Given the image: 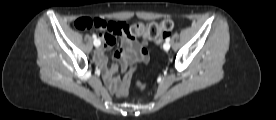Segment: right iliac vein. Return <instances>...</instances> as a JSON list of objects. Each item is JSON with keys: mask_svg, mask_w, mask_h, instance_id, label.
<instances>
[{"mask_svg": "<svg viewBox=\"0 0 276 120\" xmlns=\"http://www.w3.org/2000/svg\"><path fill=\"white\" fill-rule=\"evenodd\" d=\"M97 42H99V40L97 39V40H95V43H97ZM100 46V45H99ZM99 46H96V47H99Z\"/></svg>", "mask_w": 276, "mask_h": 120, "instance_id": "63e3f726", "label": "right iliac vein"}]
</instances>
